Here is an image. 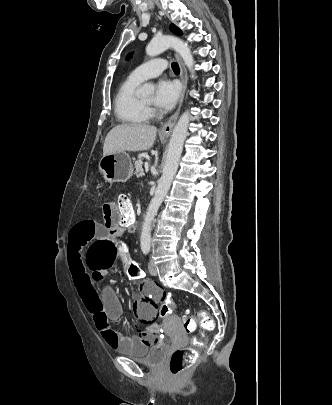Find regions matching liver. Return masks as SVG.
I'll return each instance as SVG.
<instances>
[{
	"mask_svg": "<svg viewBox=\"0 0 332 405\" xmlns=\"http://www.w3.org/2000/svg\"><path fill=\"white\" fill-rule=\"evenodd\" d=\"M157 128L147 124H120L107 134L103 155L123 151H145L153 146Z\"/></svg>",
	"mask_w": 332,
	"mask_h": 405,
	"instance_id": "6515ba94",
	"label": "liver"
}]
</instances>
